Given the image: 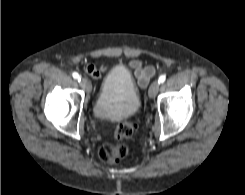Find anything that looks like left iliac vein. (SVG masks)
<instances>
[{"mask_svg": "<svg viewBox=\"0 0 245 195\" xmlns=\"http://www.w3.org/2000/svg\"><path fill=\"white\" fill-rule=\"evenodd\" d=\"M159 88H160V83L157 81L153 82L149 88V97L154 98L158 93Z\"/></svg>", "mask_w": 245, "mask_h": 195, "instance_id": "left-iliac-vein-1", "label": "left iliac vein"}]
</instances>
